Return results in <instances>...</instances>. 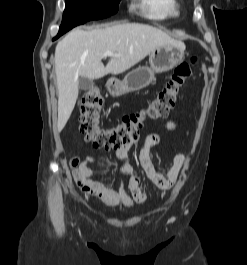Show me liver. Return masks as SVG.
Listing matches in <instances>:
<instances>
[{
    "instance_id": "6515ba94",
    "label": "liver",
    "mask_w": 247,
    "mask_h": 265,
    "mask_svg": "<svg viewBox=\"0 0 247 265\" xmlns=\"http://www.w3.org/2000/svg\"><path fill=\"white\" fill-rule=\"evenodd\" d=\"M180 44L163 31L140 23H123L103 29L72 30L55 49L58 88V131H61L78 98L79 77L99 79L118 75L142 61L162 45ZM106 51L114 52L106 66L101 62Z\"/></svg>"
}]
</instances>
